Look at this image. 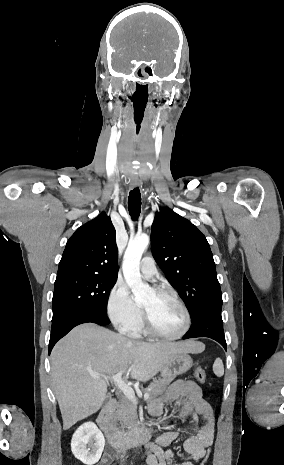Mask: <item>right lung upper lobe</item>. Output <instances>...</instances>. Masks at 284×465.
I'll return each mask as SVG.
<instances>
[{"label": "right lung upper lobe", "instance_id": "obj_1", "mask_svg": "<svg viewBox=\"0 0 284 465\" xmlns=\"http://www.w3.org/2000/svg\"><path fill=\"white\" fill-rule=\"evenodd\" d=\"M115 235L111 219L105 213L79 227L66 244L57 278L72 275L117 278Z\"/></svg>", "mask_w": 284, "mask_h": 465}]
</instances>
